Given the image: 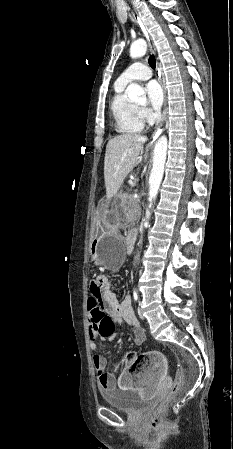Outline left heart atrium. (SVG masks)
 <instances>
[{
    "label": "left heart atrium",
    "instance_id": "left-heart-atrium-1",
    "mask_svg": "<svg viewBox=\"0 0 233 449\" xmlns=\"http://www.w3.org/2000/svg\"><path fill=\"white\" fill-rule=\"evenodd\" d=\"M146 92L148 96V101L152 106V108H154L155 110L160 109L164 98L163 90L160 84L156 81H150L146 85Z\"/></svg>",
    "mask_w": 233,
    "mask_h": 449
}]
</instances>
